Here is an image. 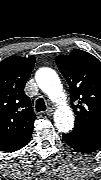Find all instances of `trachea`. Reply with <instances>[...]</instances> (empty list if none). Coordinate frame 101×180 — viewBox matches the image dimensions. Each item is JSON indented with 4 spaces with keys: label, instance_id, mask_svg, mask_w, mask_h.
Wrapping results in <instances>:
<instances>
[{
    "label": "trachea",
    "instance_id": "3493384b",
    "mask_svg": "<svg viewBox=\"0 0 101 180\" xmlns=\"http://www.w3.org/2000/svg\"><path fill=\"white\" fill-rule=\"evenodd\" d=\"M36 110L37 112L45 111L46 110V105L45 102L42 98L37 99L36 101Z\"/></svg>",
    "mask_w": 101,
    "mask_h": 180
}]
</instances>
